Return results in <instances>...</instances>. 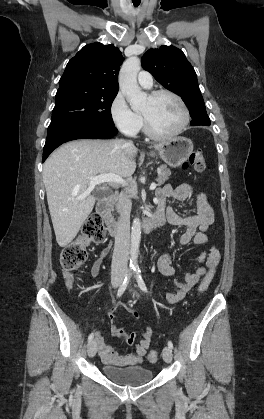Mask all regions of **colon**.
<instances>
[{"label":"colon","instance_id":"colon-1","mask_svg":"<svg viewBox=\"0 0 264 419\" xmlns=\"http://www.w3.org/2000/svg\"><path fill=\"white\" fill-rule=\"evenodd\" d=\"M182 167L187 169L192 167L196 172H202L205 169V158L200 151H194L183 163ZM105 237V227L102 218L94 214L85 222L81 236L69 243L61 252L60 263L65 272L69 283L72 282V273L77 270L87 259L86 245L88 243H100ZM214 270H209L203 278L199 292L204 293L212 282ZM148 359L155 362L158 359V352L151 350Z\"/></svg>","mask_w":264,"mask_h":419}]
</instances>
